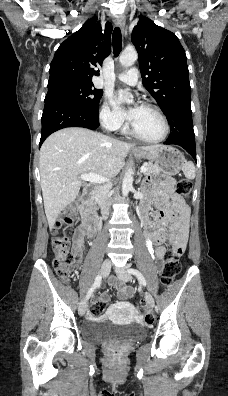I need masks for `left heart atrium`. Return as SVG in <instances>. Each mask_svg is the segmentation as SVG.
<instances>
[{
  "instance_id": "left-heart-atrium-1",
  "label": "left heart atrium",
  "mask_w": 228,
  "mask_h": 396,
  "mask_svg": "<svg viewBox=\"0 0 228 396\" xmlns=\"http://www.w3.org/2000/svg\"><path fill=\"white\" fill-rule=\"evenodd\" d=\"M114 105H115V107L117 108V110H118L122 115H124L127 119H129L130 121H133V120L135 119V117H136V112H137V109L139 108V106H135V107H133L132 109H130L129 111H127V112H123V111H121V109H120V100H119L118 98H115V99H114Z\"/></svg>"
}]
</instances>
